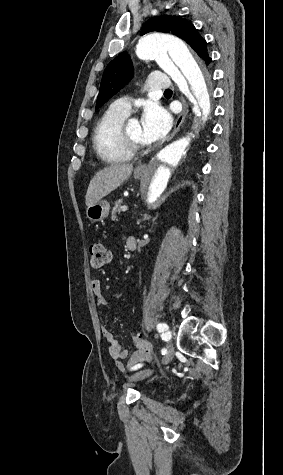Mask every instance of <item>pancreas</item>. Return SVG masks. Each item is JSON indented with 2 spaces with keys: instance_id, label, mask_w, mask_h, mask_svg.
Returning <instances> with one entry per match:
<instances>
[{
  "instance_id": "1",
  "label": "pancreas",
  "mask_w": 283,
  "mask_h": 475,
  "mask_svg": "<svg viewBox=\"0 0 283 475\" xmlns=\"http://www.w3.org/2000/svg\"><path fill=\"white\" fill-rule=\"evenodd\" d=\"M123 204V200H117V202H114V206L112 208V216H111V220H116V214L117 212H121V206Z\"/></svg>"
}]
</instances>
